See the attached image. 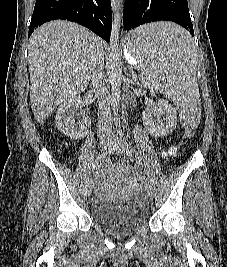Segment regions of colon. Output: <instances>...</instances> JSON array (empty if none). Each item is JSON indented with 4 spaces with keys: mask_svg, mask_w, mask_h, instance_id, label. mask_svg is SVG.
<instances>
[{
    "mask_svg": "<svg viewBox=\"0 0 227 267\" xmlns=\"http://www.w3.org/2000/svg\"><path fill=\"white\" fill-rule=\"evenodd\" d=\"M190 116L194 115H181V113H176L178 125H181V130L185 131L184 135L182 136L183 140H189L192 139V136H195V124L191 123Z\"/></svg>",
    "mask_w": 227,
    "mask_h": 267,
    "instance_id": "5ec220e1",
    "label": "colon"
}]
</instances>
